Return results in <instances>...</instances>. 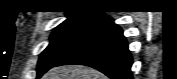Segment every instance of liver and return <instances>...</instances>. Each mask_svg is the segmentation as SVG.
<instances>
[{
	"label": "liver",
	"instance_id": "liver-1",
	"mask_svg": "<svg viewBox=\"0 0 177 79\" xmlns=\"http://www.w3.org/2000/svg\"><path fill=\"white\" fill-rule=\"evenodd\" d=\"M43 79H106V77L90 67L67 65L50 69Z\"/></svg>",
	"mask_w": 177,
	"mask_h": 79
}]
</instances>
